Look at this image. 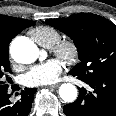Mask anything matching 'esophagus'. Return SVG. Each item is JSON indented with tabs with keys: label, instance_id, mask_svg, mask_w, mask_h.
Returning <instances> with one entry per match:
<instances>
[{
	"label": "esophagus",
	"instance_id": "esophagus-1",
	"mask_svg": "<svg viewBox=\"0 0 116 116\" xmlns=\"http://www.w3.org/2000/svg\"><path fill=\"white\" fill-rule=\"evenodd\" d=\"M59 86V84H54V85H49V88H57Z\"/></svg>",
	"mask_w": 116,
	"mask_h": 116
}]
</instances>
